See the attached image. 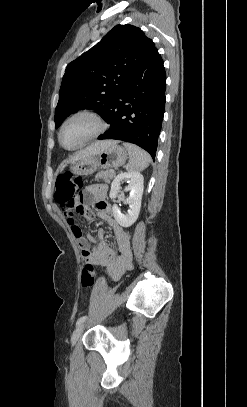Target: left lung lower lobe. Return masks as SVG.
I'll return each mask as SVG.
<instances>
[{
	"mask_svg": "<svg viewBox=\"0 0 247 407\" xmlns=\"http://www.w3.org/2000/svg\"><path fill=\"white\" fill-rule=\"evenodd\" d=\"M166 75L163 60L154 52L145 66L124 86L98 139L136 144L155 158L165 108Z\"/></svg>",
	"mask_w": 247,
	"mask_h": 407,
	"instance_id": "left-lung-lower-lobe-1",
	"label": "left lung lower lobe"
}]
</instances>
